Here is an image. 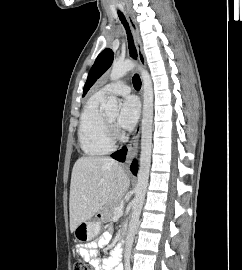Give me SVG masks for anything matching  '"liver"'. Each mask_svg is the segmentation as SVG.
<instances>
[{"instance_id":"obj_1","label":"liver","mask_w":242,"mask_h":270,"mask_svg":"<svg viewBox=\"0 0 242 270\" xmlns=\"http://www.w3.org/2000/svg\"><path fill=\"white\" fill-rule=\"evenodd\" d=\"M130 179L123 167L109 157H81L72 170L70 184V230L91 219L105 204L120 200Z\"/></svg>"}]
</instances>
